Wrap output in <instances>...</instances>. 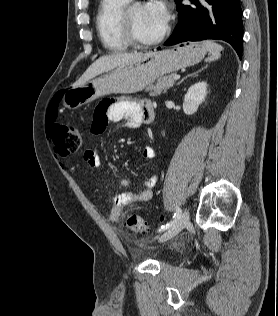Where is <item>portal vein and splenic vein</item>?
<instances>
[{"label":"portal vein and splenic vein","mask_w":278,"mask_h":316,"mask_svg":"<svg viewBox=\"0 0 278 316\" xmlns=\"http://www.w3.org/2000/svg\"><path fill=\"white\" fill-rule=\"evenodd\" d=\"M178 79H180V75L174 76V80H178Z\"/></svg>","instance_id":"18ae733b"}]
</instances>
